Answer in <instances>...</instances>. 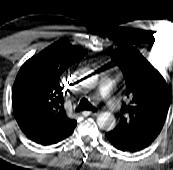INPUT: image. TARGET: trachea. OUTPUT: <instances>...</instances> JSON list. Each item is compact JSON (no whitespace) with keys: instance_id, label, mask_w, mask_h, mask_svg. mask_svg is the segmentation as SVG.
<instances>
[{"instance_id":"trachea-1","label":"trachea","mask_w":173,"mask_h":170,"mask_svg":"<svg viewBox=\"0 0 173 170\" xmlns=\"http://www.w3.org/2000/svg\"><path fill=\"white\" fill-rule=\"evenodd\" d=\"M78 111L82 110H90L95 111L96 109L90 104V102L86 99H82L78 105Z\"/></svg>"}]
</instances>
